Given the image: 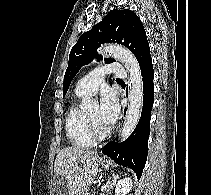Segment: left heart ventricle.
Here are the masks:
<instances>
[{
  "label": "left heart ventricle",
  "instance_id": "b2bd125f",
  "mask_svg": "<svg viewBox=\"0 0 211 195\" xmlns=\"http://www.w3.org/2000/svg\"><path fill=\"white\" fill-rule=\"evenodd\" d=\"M90 119L93 121L95 127L97 128L98 131H104L108 127L104 125L100 118H99V109L95 108L91 110L90 112L87 113Z\"/></svg>",
  "mask_w": 211,
  "mask_h": 195
}]
</instances>
